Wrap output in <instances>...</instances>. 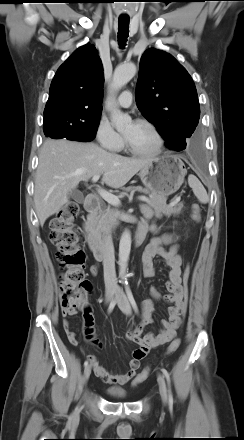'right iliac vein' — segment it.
<instances>
[{
  "instance_id": "63e3f726",
  "label": "right iliac vein",
  "mask_w": 244,
  "mask_h": 440,
  "mask_svg": "<svg viewBox=\"0 0 244 440\" xmlns=\"http://www.w3.org/2000/svg\"><path fill=\"white\" fill-rule=\"evenodd\" d=\"M114 294L113 288H108L106 291V302H110ZM91 374V365H87L84 369V379L83 384L85 385Z\"/></svg>"
}]
</instances>
